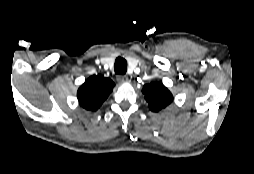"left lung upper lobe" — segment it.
I'll use <instances>...</instances> for the list:
<instances>
[{
    "label": "left lung upper lobe",
    "mask_w": 254,
    "mask_h": 174,
    "mask_svg": "<svg viewBox=\"0 0 254 174\" xmlns=\"http://www.w3.org/2000/svg\"><path fill=\"white\" fill-rule=\"evenodd\" d=\"M142 92L150 110L154 112L165 108L173 100L171 92L160 82L144 85Z\"/></svg>",
    "instance_id": "5c2ea615"
}]
</instances>
